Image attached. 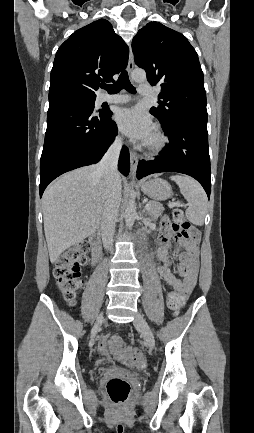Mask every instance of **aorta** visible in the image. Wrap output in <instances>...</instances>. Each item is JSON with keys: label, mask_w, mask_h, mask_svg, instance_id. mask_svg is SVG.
Instances as JSON below:
<instances>
[{"label": "aorta", "mask_w": 254, "mask_h": 433, "mask_svg": "<svg viewBox=\"0 0 254 433\" xmlns=\"http://www.w3.org/2000/svg\"><path fill=\"white\" fill-rule=\"evenodd\" d=\"M131 78L138 83L144 82L146 81V72L141 69L134 70L131 73ZM124 216L126 226L132 227L137 216L134 190H130V198L127 202Z\"/></svg>", "instance_id": "aorta-1"}]
</instances>
